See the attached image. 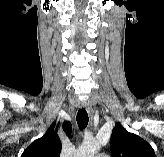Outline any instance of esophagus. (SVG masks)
<instances>
[{"label":"esophagus","mask_w":164,"mask_h":157,"mask_svg":"<svg viewBox=\"0 0 164 157\" xmlns=\"http://www.w3.org/2000/svg\"><path fill=\"white\" fill-rule=\"evenodd\" d=\"M83 105L86 108L89 117L92 119L94 115V109H93L92 104L88 101V102H84Z\"/></svg>","instance_id":"obj_1"}]
</instances>
